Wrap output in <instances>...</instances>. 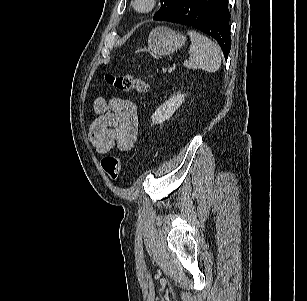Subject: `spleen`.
<instances>
[{"label":"spleen","instance_id":"1","mask_svg":"<svg viewBox=\"0 0 307 301\" xmlns=\"http://www.w3.org/2000/svg\"><path fill=\"white\" fill-rule=\"evenodd\" d=\"M191 39L189 53L191 58L184 61L183 65L189 69H202L215 72L221 65L219 47L208 37L194 31H188Z\"/></svg>","mask_w":307,"mask_h":301}]
</instances>
